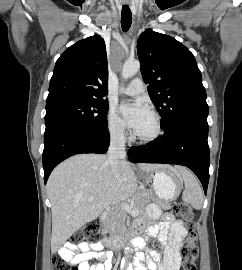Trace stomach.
<instances>
[{
    "instance_id": "obj_1",
    "label": "stomach",
    "mask_w": 242,
    "mask_h": 270,
    "mask_svg": "<svg viewBox=\"0 0 242 270\" xmlns=\"http://www.w3.org/2000/svg\"><path fill=\"white\" fill-rule=\"evenodd\" d=\"M143 179L151 185L158 199L163 201L175 199L182 188L180 174L170 166L155 169L143 175Z\"/></svg>"
}]
</instances>
